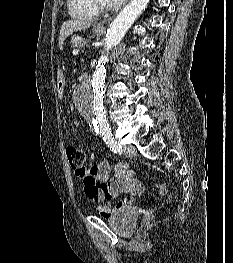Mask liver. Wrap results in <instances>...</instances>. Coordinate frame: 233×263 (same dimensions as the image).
<instances>
[{
	"instance_id": "1",
	"label": "liver",
	"mask_w": 233,
	"mask_h": 263,
	"mask_svg": "<svg viewBox=\"0 0 233 263\" xmlns=\"http://www.w3.org/2000/svg\"><path fill=\"white\" fill-rule=\"evenodd\" d=\"M91 23L82 19H70L65 21L60 29L58 45L63 48L64 40L74 32L86 30L90 27Z\"/></svg>"
}]
</instances>
